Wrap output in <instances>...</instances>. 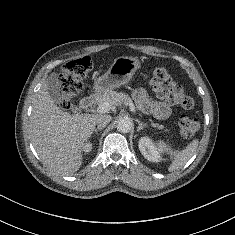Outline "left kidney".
I'll list each match as a JSON object with an SVG mask.
<instances>
[{
	"mask_svg": "<svg viewBox=\"0 0 235 235\" xmlns=\"http://www.w3.org/2000/svg\"><path fill=\"white\" fill-rule=\"evenodd\" d=\"M138 146L140 152L148 161L157 163L162 160L159 151L148 136L141 137L139 139Z\"/></svg>",
	"mask_w": 235,
	"mask_h": 235,
	"instance_id": "5707ae66",
	"label": "left kidney"
}]
</instances>
